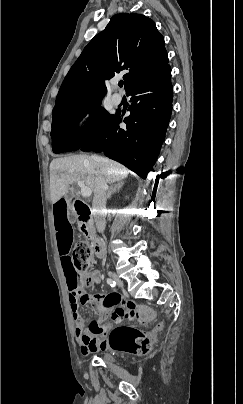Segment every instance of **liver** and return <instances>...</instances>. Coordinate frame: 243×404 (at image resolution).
<instances>
[{
    "label": "liver",
    "instance_id": "obj_1",
    "mask_svg": "<svg viewBox=\"0 0 243 404\" xmlns=\"http://www.w3.org/2000/svg\"><path fill=\"white\" fill-rule=\"evenodd\" d=\"M96 170L104 176L106 184L121 182L127 178L129 170L101 156H69V158H56L50 164V192L51 202L55 204L63 198L70 184L77 180L86 184L95 192Z\"/></svg>",
    "mask_w": 243,
    "mask_h": 404
}]
</instances>
